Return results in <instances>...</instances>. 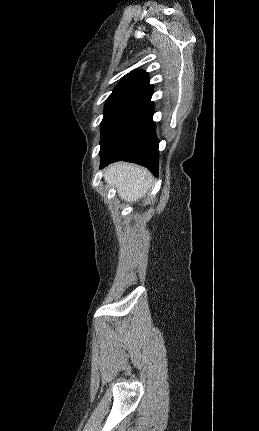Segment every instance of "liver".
<instances>
[{
  "mask_svg": "<svg viewBox=\"0 0 259 431\" xmlns=\"http://www.w3.org/2000/svg\"><path fill=\"white\" fill-rule=\"evenodd\" d=\"M104 178L117 188L121 199L131 203L143 198L152 185V176L146 168L125 162L108 166Z\"/></svg>",
  "mask_w": 259,
  "mask_h": 431,
  "instance_id": "obj_1",
  "label": "liver"
}]
</instances>
